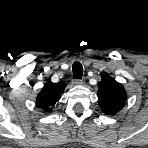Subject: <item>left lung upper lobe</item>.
I'll list each match as a JSON object with an SVG mask.
<instances>
[{
	"mask_svg": "<svg viewBox=\"0 0 148 148\" xmlns=\"http://www.w3.org/2000/svg\"><path fill=\"white\" fill-rule=\"evenodd\" d=\"M98 100L101 110L106 115H113L124 107L127 94L122 84L105 74L98 83Z\"/></svg>",
	"mask_w": 148,
	"mask_h": 148,
	"instance_id": "5c2ea615",
	"label": "left lung upper lobe"
}]
</instances>
